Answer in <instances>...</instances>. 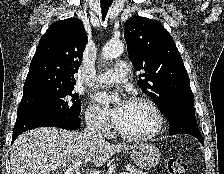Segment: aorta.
Instances as JSON below:
<instances>
[{
	"instance_id": "aorta-1",
	"label": "aorta",
	"mask_w": 224,
	"mask_h": 174,
	"mask_svg": "<svg viewBox=\"0 0 224 174\" xmlns=\"http://www.w3.org/2000/svg\"><path fill=\"white\" fill-rule=\"evenodd\" d=\"M124 52V44L120 40H112L105 44L102 49V55L105 59H114Z\"/></svg>"
}]
</instances>
